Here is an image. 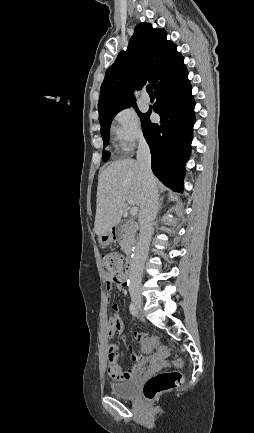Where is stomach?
<instances>
[{"mask_svg":"<svg viewBox=\"0 0 254 433\" xmlns=\"http://www.w3.org/2000/svg\"><path fill=\"white\" fill-rule=\"evenodd\" d=\"M114 239H115V235L110 230L108 232L100 235L98 238L99 243L103 246L109 245L112 241H114Z\"/></svg>","mask_w":254,"mask_h":433,"instance_id":"0dacf381","label":"stomach"}]
</instances>
